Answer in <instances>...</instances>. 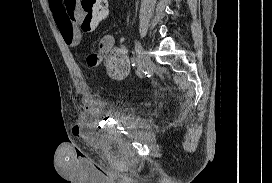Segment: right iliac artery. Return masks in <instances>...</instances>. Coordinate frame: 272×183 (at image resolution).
<instances>
[{
  "label": "right iliac artery",
  "instance_id": "right-iliac-artery-1",
  "mask_svg": "<svg viewBox=\"0 0 272 183\" xmlns=\"http://www.w3.org/2000/svg\"><path fill=\"white\" fill-rule=\"evenodd\" d=\"M131 63H132V66H137L139 61H138V58L137 57H132L131 58Z\"/></svg>",
  "mask_w": 272,
  "mask_h": 183
}]
</instances>
